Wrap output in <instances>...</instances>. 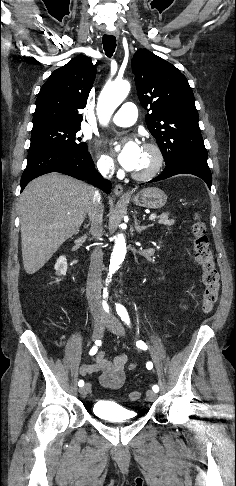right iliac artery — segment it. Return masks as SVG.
Instances as JSON below:
<instances>
[{"label": "right iliac artery", "mask_w": 236, "mask_h": 486, "mask_svg": "<svg viewBox=\"0 0 236 486\" xmlns=\"http://www.w3.org/2000/svg\"><path fill=\"white\" fill-rule=\"evenodd\" d=\"M105 308H106V310H108V307H107V306H105ZM99 345H100V340H97V341L95 342V346H93V347L91 348V350H90L89 354H90V355H94V354H96V352H97V350H98V346H99ZM78 385H79L80 387H82V386L84 385V381H83V380H80V381L78 382Z\"/></svg>", "instance_id": "right-iliac-artery-1"}]
</instances>
